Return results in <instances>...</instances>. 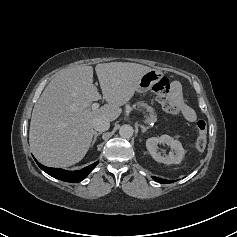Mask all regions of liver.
<instances>
[{"label": "liver", "instance_id": "1", "mask_svg": "<svg viewBox=\"0 0 237 237\" xmlns=\"http://www.w3.org/2000/svg\"><path fill=\"white\" fill-rule=\"evenodd\" d=\"M150 67L128 62L97 64L95 71L107 104L92 110L101 99L93 84V67L79 65L60 71L49 82L33 108L29 144L36 158L47 166L68 167L86 155L96 118L116 120L121 106L134 95Z\"/></svg>", "mask_w": 237, "mask_h": 237}]
</instances>
